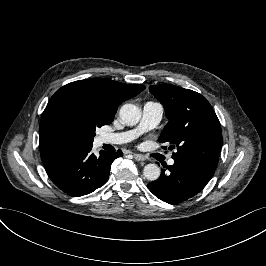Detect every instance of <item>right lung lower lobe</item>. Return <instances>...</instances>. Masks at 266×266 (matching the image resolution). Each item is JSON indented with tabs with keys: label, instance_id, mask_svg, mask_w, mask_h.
I'll list each match as a JSON object with an SVG mask.
<instances>
[{
	"label": "right lung lower lobe",
	"instance_id": "1",
	"mask_svg": "<svg viewBox=\"0 0 266 266\" xmlns=\"http://www.w3.org/2000/svg\"><path fill=\"white\" fill-rule=\"evenodd\" d=\"M93 145H76L59 152L45 167L51 181L64 193L78 197L103 186L112 162L123 154L100 151L96 157Z\"/></svg>",
	"mask_w": 266,
	"mask_h": 266
}]
</instances>
